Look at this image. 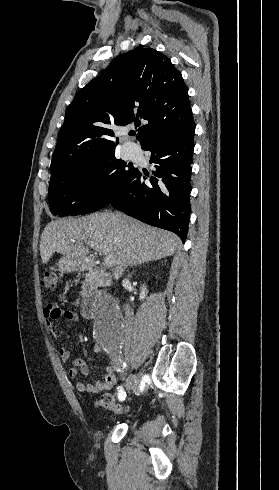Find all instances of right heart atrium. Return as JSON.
<instances>
[{"label":"right heart atrium","mask_w":279,"mask_h":490,"mask_svg":"<svg viewBox=\"0 0 279 490\" xmlns=\"http://www.w3.org/2000/svg\"><path fill=\"white\" fill-rule=\"evenodd\" d=\"M100 181H101V180H97V181L94 183V187H95L96 191H98V190H99V187H100Z\"/></svg>","instance_id":"obj_1"}]
</instances>
